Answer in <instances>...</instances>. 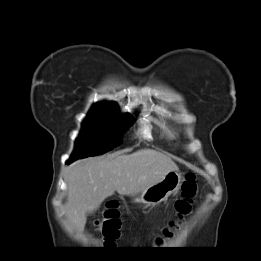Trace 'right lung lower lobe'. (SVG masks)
Wrapping results in <instances>:
<instances>
[{
    "label": "right lung lower lobe",
    "instance_id": "1",
    "mask_svg": "<svg viewBox=\"0 0 261 261\" xmlns=\"http://www.w3.org/2000/svg\"><path fill=\"white\" fill-rule=\"evenodd\" d=\"M74 159L70 158L67 163L69 164L70 162H72Z\"/></svg>",
    "mask_w": 261,
    "mask_h": 261
}]
</instances>
